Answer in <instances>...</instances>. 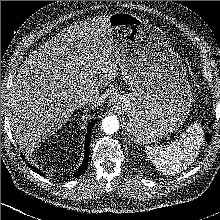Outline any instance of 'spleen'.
Returning <instances> with one entry per match:
<instances>
[{
    "instance_id": "spleen-1",
    "label": "spleen",
    "mask_w": 220,
    "mask_h": 220,
    "mask_svg": "<svg viewBox=\"0 0 220 220\" xmlns=\"http://www.w3.org/2000/svg\"><path fill=\"white\" fill-rule=\"evenodd\" d=\"M203 142V129L191 124L177 141L166 146H146L147 157L165 175L178 174L197 158Z\"/></svg>"
}]
</instances>
